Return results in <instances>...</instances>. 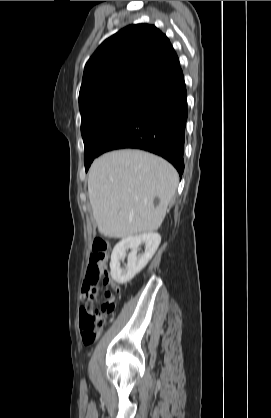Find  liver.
<instances>
[{"label":"liver","instance_id":"liver-1","mask_svg":"<svg viewBox=\"0 0 271 418\" xmlns=\"http://www.w3.org/2000/svg\"><path fill=\"white\" fill-rule=\"evenodd\" d=\"M178 181L170 163L148 152L125 149L100 156L88 176V195L99 232L115 238L155 232Z\"/></svg>","mask_w":271,"mask_h":418}]
</instances>
